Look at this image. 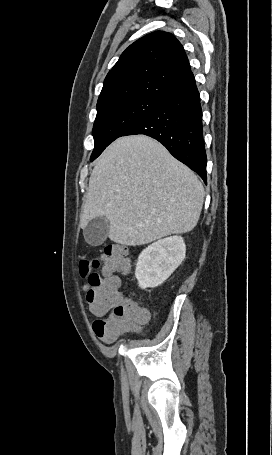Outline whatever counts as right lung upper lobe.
<instances>
[{
	"mask_svg": "<svg viewBox=\"0 0 272 455\" xmlns=\"http://www.w3.org/2000/svg\"><path fill=\"white\" fill-rule=\"evenodd\" d=\"M195 84L183 46L152 32L131 44L107 74L97 106L137 96L166 100Z\"/></svg>",
	"mask_w": 272,
	"mask_h": 455,
	"instance_id": "1",
	"label": "right lung upper lobe"
}]
</instances>
